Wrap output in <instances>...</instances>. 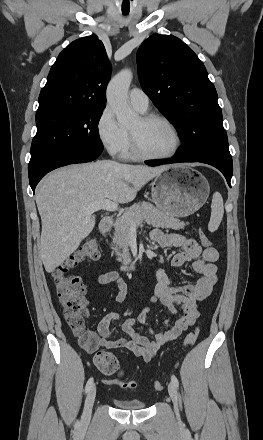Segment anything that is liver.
<instances>
[{
  "label": "liver",
  "instance_id": "obj_1",
  "mask_svg": "<svg viewBox=\"0 0 263 440\" xmlns=\"http://www.w3.org/2000/svg\"><path fill=\"white\" fill-rule=\"evenodd\" d=\"M170 167L103 160L50 173L36 189L42 221L40 253L45 270L53 272L93 230L95 215L86 213L84 206L106 199L129 203L146 183Z\"/></svg>",
  "mask_w": 263,
  "mask_h": 440
}]
</instances>
